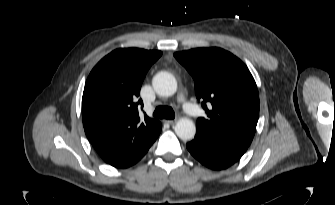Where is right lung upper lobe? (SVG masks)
I'll return each instance as SVG.
<instances>
[{"label":"right lung upper lobe","instance_id":"cb5924a9","mask_svg":"<svg viewBox=\"0 0 335 205\" xmlns=\"http://www.w3.org/2000/svg\"><path fill=\"white\" fill-rule=\"evenodd\" d=\"M161 51L121 48L91 71L82 97L83 126L89 141L111 165L148 151L162 129L158 120L140 117V88Z\"/></svg>","mask_w":335,"mask_h":205}]
</instances>
